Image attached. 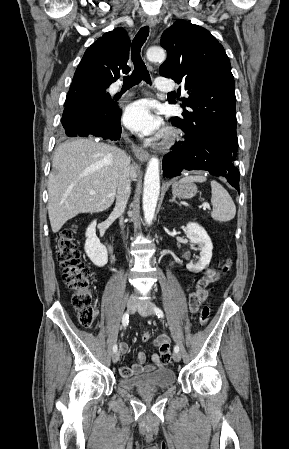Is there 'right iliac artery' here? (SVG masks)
Segmentation results:
<instances>
[{"mask_svg":"<svg viewBox=\"0 0 289 449\" xmlns=\"http://www.w3.org/2000/svg\"><path fill=\"white\" fill-rule=\"evenodd\" d=\"M128 323H129V314L126 312L122 317V325L124 326V328H126ZM113 352H117V344L113 346Z\"/></svg>","mask_w":289,"mask_h":449,"instance_id":"82829eb1","label":"right iliac artery"}]
</instances>
